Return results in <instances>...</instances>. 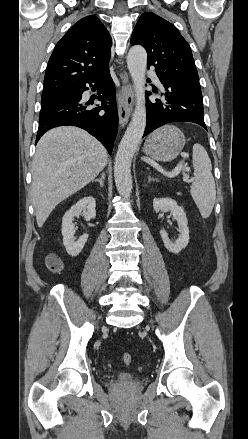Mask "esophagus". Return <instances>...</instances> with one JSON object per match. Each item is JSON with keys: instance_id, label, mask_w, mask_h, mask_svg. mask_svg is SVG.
Wrapping results in <instances>:
<instances>
[{"instance_id": "1", "label": "esophagus", "mask_w": 248, "mask_h": 439, "mask_svg": "<svg viewBox=\"0 0 248 439\" xmlns=\"http://www.w3.org/2000/svg\"><path fill=\"white\" fill-rule=\"evenodd\" d=\"M121 79L122 87L118 96V114L120 126L125 127L133 107V90L125 77H121Z\"/></svg>"}]
</instances>
